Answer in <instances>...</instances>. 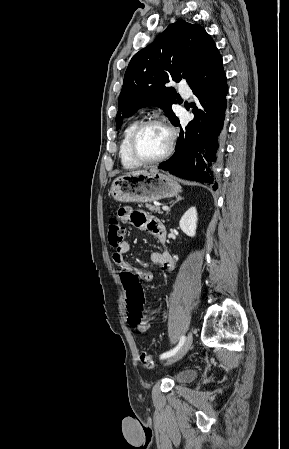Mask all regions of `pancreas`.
<instances>
[{
  "label": "pancreas",
  "instance_id": "pancreas-1",
  "mask_svg": "<svg viewBox=\"0 0 289 449\" xmlns=\"http://www.w3.org/2000/svg\"><path fill=\"white\" fill-rule=\"evenodd\" d=\"M146 207L148 208V210H150L151 212H156L159 214H162L163 212L160 210V208L156 205H151V204H146Z\"/></svg>",
  "mask_w": 289,
  "mask_h": 449
}]
</instances>
